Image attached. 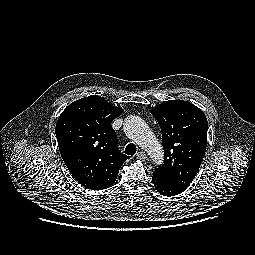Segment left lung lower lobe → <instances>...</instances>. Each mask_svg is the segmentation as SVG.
<instances>
[{
  "mask_svg": "<svg viewBox=\"0 0 255 255\" xmlns=\"http://www.w3.org/2000/svg\"><path fill=\"white\" fill-rule=\"evenodd\" d=\"M152 181L153 184L155 186V189L164 196H175L177 194H179L180 192H182L183 190L172 186L168 183H166L165 181H163L162 179H160L158 176H156L155 174H153L152 176Z\"/></svg>",
  "mask_w": 255,
  "mask_h": 255,
  "instance_id": "1",
  "label": "left lung lower lobe"
}]
</instances>
